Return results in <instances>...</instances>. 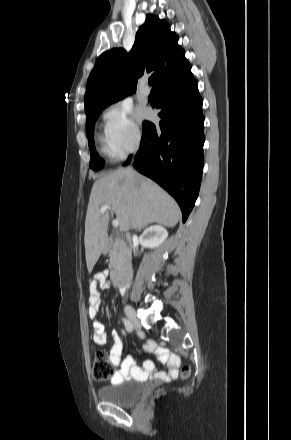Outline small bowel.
I'll return each instance as SVG.
<instances>
[{
  "instance_id": "c3829d8e",
  "label": "small bowel",
  "mask_w": 291,
  "mask_h": 440,
  "mask_svg": "<svg viewBox=\"0 0 291 440\" xmlns=\"http://www.w3.org/2000/svg\"><path fill=\"white\" fill-rule=\"evenodd\" d=\"M107 272L96 275L89 283V316L93 320L92 337L97 345H104L106 343V331L103 323L97 319L98 310L101 304V296L98 290V285L106 288ZM122 293L126 291V285H121ZM113 345L109 351V362L118 367L113 371L111 376V383L115 384L128 378L144 379L147 377L169 379L177 375L181 364V359L177 354L170 353L168 350L159 347L156 342L152 341L144 346L148 352H155L159 356V360L167 365V371L159 372L152 361H145L143 369L138 367L132 356H126L121 361L123 353V342L116 331L112 332Z\"/></svg>"
}]
</instances>
